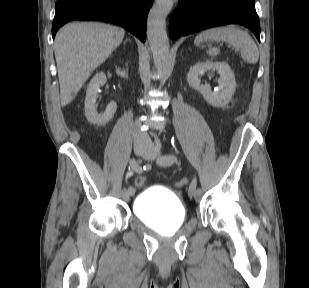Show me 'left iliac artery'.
<instances>
[{
	"label": "left iliac artery",
	"mask_w": 309,
	"mask_h": 288,
	"mask_svg": "<svg viewBox=\"0 0 309 288\" xmlns=\"http://www.w3.org/2000/svg\"><path fill=\"white\" fill-rule=\"evenodd\" d=\"M156 148H157V150L161 149V142H160V140L156 141ZM175 161H176V157L174 155L167 154V155H164L161 158H159L157 160V163L160 164V165L169 166V165H172ZM190 190L193 191V193L195 194V191H196V177L193 179V181H192V183H191V185L189 187V191ZM196 192H198V190Z\"/></svg>",
	"instance_id": "left-iliac-artery-1"
}]
</instances>
